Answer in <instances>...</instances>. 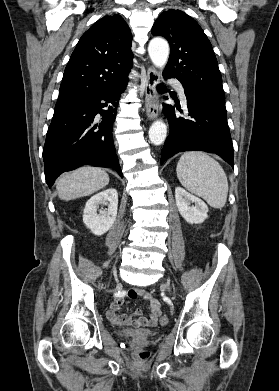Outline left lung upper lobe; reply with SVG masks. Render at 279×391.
Masks as SVG:
<instances>
[{
    "mask_svg": "<svg viewBox=\"0 0 279 391\" xmlns=\"http://www.w3.org/2000/svg\"><path fill=\"white\" fill-rule=\"evenodd\" d=\"M165 37L170 58L163 76L178 79L183 87L225 106L222 77L212 45L199 24L179 10L163 12L152 28Z\"/></svg>",
    "mask_w": 279,
    "mask_h": 391,
    "instance_id": "5c2ea615",
    "label": "left lung upper lobe"
}]
</instances>
